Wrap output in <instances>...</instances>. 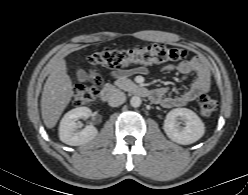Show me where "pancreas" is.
Listing matches in <instances>:
<instances>
[{
    "label": "pancreas",
    "mask_w": 248,
    "mask_h": 195,
    "mask_svg": "<svg viewBox=\"0 0 248 195\" xmlns=\"http://www.w3.org/2000/svg\"><path fill=\"white\" fill-rule=\"evenodd\" d=\"M116 84L124 90H127L130 86L134 85V83L130 79L125 78L119 79Z\"/></svg>",
    "instance_id": "pancreas-1"
}]
</instances>
